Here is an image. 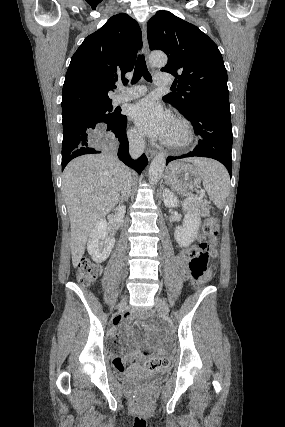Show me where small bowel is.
<instances>
[{
	"label": "small bowel",
	"instance_id": "1",
	"mask_svg": "<svg viewBox=\"0 0 285 427\" xmlns=\"http://www.w3.org/2000/svg\"><path fill=\"white\" fill-rule=\"evenodd\" d=\"M186 252H181L178 255V260L180 263H185L186 261ZM134 317L132 315H126L123 318L117 320L115 325L117 326H126L129 324ZM133 343L132 341H130ZM107 346L111 350V356L113 359V364L116 369H123L120 367L121 363L125 364H139L143 361L145 354L142 353L139 349H134L129 355H124L122 351V345L119 340H117L113 333H110L107 337Z\"/></svg>",
	"mask_w": 285,
	"mask_h": 427
}]
</instances>
